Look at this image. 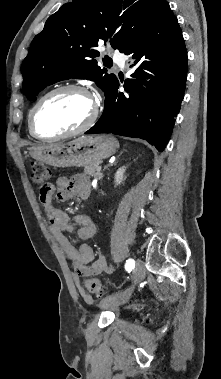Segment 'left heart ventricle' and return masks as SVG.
<instances>
[{
    "mask_svg": "<svg viewBox=\"0 0 221 379\" xmlns=\"http://www.w3.org/2000/svg\"><path fill=\"white\" fill-rule=\"evenodd\" d=\"M93 108L91 99L76 91H67L49 97L35 115V128L43 136H54L73 130L83 124Z\"/></svg>",
    "mask_w": 221,
    "mask_h": 379,
    "instance_id": "obj_1",
    "label": "left heart ventricle"
}]
</instances>
